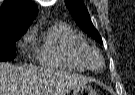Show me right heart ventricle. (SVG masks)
<instances>
[{"label": "right heart ventricle", "mask_w": 135, "mask_h": 95, "mask_svg": "<svg viewBox=\"0 0 135 95\" xmlns=\"http://www.w3.org/2000/svg\"><path fill=\"white\" fill-rule=\"evenodd\" d=\"M39 36V27L31 31V37ZM90 48L86 40L70 25L58 22L50 25L40 36L36 54L42 66L84 72L88 68L82 53Z\"/></svg>", "instance_id": "obj_1"}]
</instances>
